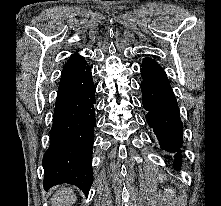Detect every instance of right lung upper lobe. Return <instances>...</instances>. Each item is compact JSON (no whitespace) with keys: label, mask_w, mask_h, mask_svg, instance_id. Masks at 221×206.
Masks as SVG:
<instances>
[{"label":"right lung upper lobe","mask_w":221,"mask_h":206,"mask_svg":"<svg viewBox=\"0 0 221 206\" xmlns=\"http://www.w3.org/2000/svg\"><path fill=\"white\" fill-rule=\"evenodd\" d=\"M85 62L86 61H85L84 57L80 56L79 54H73L70 57V59L68 60V62L66 63V65L64 66L61 75L74 69L75 67H77Z\"/></svg>","instance_id":"obj_1"}]
</instances>
